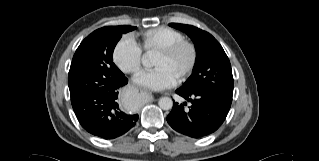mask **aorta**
Listing matches in <instances>:
<instances>
[{
  "instance_id": "obj_1",
  "label": "aorta",
  "mask_w": 319,
  "mask_h": 161,
  "mask_svg": "<svg viewBox=\"0 0 319 161\" xmlns=\"http://www.w3.org/2000/svg\"><path fill=\"white\" fill-rule=\"evenodd\" d=\"M158 104L163 110H170L173 107V101L169 97L160 98Z\"/></svg>"
}]
</instances>
